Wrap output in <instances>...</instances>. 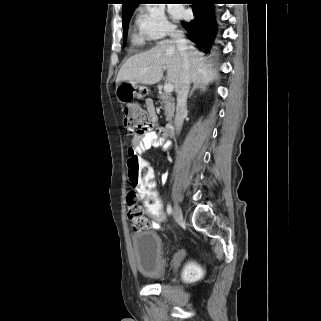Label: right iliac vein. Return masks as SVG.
Wrapping results in <instances>:
<instances>
[{
  "mask_svg": "<svg viewBox=\"0 0 321 321\" xmlns=\"http://www.w3.org/2000/svg\"><path fill=\"white\" fill-rule=\"evenodd\" d=\"M173 215H174L175 221L180 222L182 220V210L177 203L174 205Z\"/></svg>",
  "mask_w": 321,
  "mask_h": 321,
  "instance_id": "1",
  "label": "right iliac vein"
}]
</instances>
